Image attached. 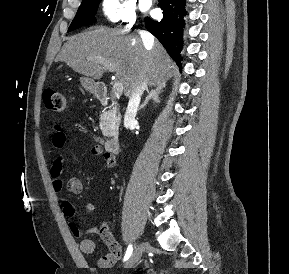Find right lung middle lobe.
<instances>
[{
  "label": "right lung middle lobe",
  "instance_id": "obj_1",
  "mask_svg": "<svg viewBox=\"0 0 289 274\" xmlns=\"http://www.w3.org/2000/svg\"><path fill=\"white\" fill-rule=\"evenodd\" d=\"M101 0H82V3L73 19L69 31L95 22V14Z\"/></svg>",
  "mask_w": 289,
  "mask_h": 274
}]
</instances>
